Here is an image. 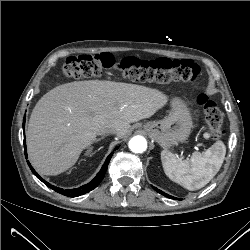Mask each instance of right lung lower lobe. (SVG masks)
Wrapping results in <instances>:
<instances>
[{"label":"right lung lower lobe","instance_id":"obj_1","mask_svg":"<svg viewBox=\"0 0 250 250\" xmlns=\"http://www.w3.org/2000/svg\"><path fill=\"white\" fill-rule=\"evenodd\" d=\"M24 124H25V117H24V121H23V127H24ZM24 146H25V156L27 158V152H26V144L24 142ZM118 148V147H117ZM116 148V149H117ZM115 149V150H116ZM113 155V152L107 157L105 163L103 164L101 170L99 171V173L96 175V177L91 181L89 182L88 184L86 185H83L79 188H75V189H62V188H59V187H55L51 184H49L48 182H46L44 179H42L36 172L35 170L33 169V167L31 166V164L28 162V165L30 166V169L31 171L33 172L34 175L37 176V178H39L45 185H47L49 188L51 189H54L56 192L60 193V194H63V195H66L68 197H76V196H80V195H83L91 190H93L94 188H96L99 183L102 181V179L104 178V175L106 173V170H107V167H108V164H109V161L111 159Z\"/></svg>","mask_w":250,"mask_h":250}]
</instances>
